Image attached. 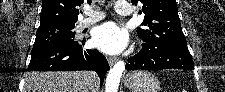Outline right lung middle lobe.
Listing matches in <instances>:
<instances>
[{
    "instance_id": "obj_1",
    "label": "right lung middle lobe",
    "mask_w": 225,
    "mask_h": 92,
    "mask_svg": "<svg viewBox=\"0 0 225 92\" xmlns=\"http://www.w3.org/2000/svg\"><path fill=\"white\" fill-rule=\"evenodd\" d=\"M75 24L51 23L40 25L33 48L53 43H67L74 41Z\"/></svg>"
}]
</instances>
